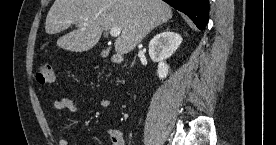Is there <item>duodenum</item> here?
<instances>
[{"mask_svg": "<svg viewBox=\"0 0 276 145\" xmlns=\"http://www.w3.org/2000/svg\"><path fill=\"white\" fill-rule=\"evenodd\" d=\"M121 61H122V57H121V56H117V57H116V62L119 63V62H121Z\"/></svg>", "mask_w": 276, "mask_h": 145, "instance_id": "duodenum-1", "label": "duodenum"}]
</instances>
